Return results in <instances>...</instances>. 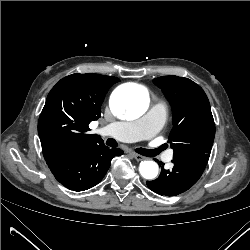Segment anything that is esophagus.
<instances>
[{
    "instance_id": "esophagus-1",
    "label": "esophagus",
    "mask_w": 250,
    "mask_h": 250,
    "mask_svg": "<svg viewBox=\"0 0 250 250\" xmlns=\"http://www.w3.org/2000/svg\"><path fill=\"white\" fill-rule=\"evenodd\" d=\"M131 156L136 159L137 161H141L144 159V157L142 155L136 154V153H130Z\"/></svg>"
}]
</instances>
